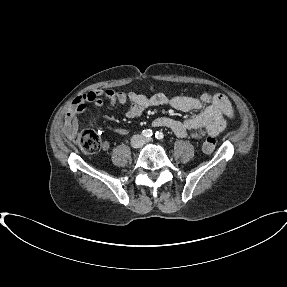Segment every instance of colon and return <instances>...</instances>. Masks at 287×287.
Masks as SVG:
<instances>
[{
  "mask_svg": "<svg viewBox=\"0 0 287 287\" xmlns=\"http://www.w3.org/2000/svg\"><path fill=\"white\" fill-rule=\"evenodd\" d=\"M76 143L86 153H95L101 148V141L99 136L90 130L80 132L76 138ZM217 141L215 138H208L203 143V151L205 153H212L215 150Z\"/></svg>",
  "mask_w": 287,
  "mask_h": 287,
  "instance_id": "obj_1",
  "label": "colon"
}]
</instances>
